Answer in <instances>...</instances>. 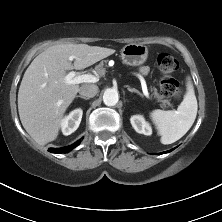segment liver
I'll use <instances>...</instances> for the list:
<instances>
[{"label":"liver","instance_id":"obj_1","mask_svg":"<svg viewBox=\"0 0 222 222\" xmlns=\"http://www.w3.org/2000/svg\"><path fill=\"white\" fill-rule=\"evenodd\" d=\"M114 52L69 43L51 46L32 61L19 87L18 111L24 129L38 144L57 138L64 113L79 92L78 84L65 82L66 71L85 69Z\"/></svg>","mask_w":222,"mask_h":222}]
</instances>
